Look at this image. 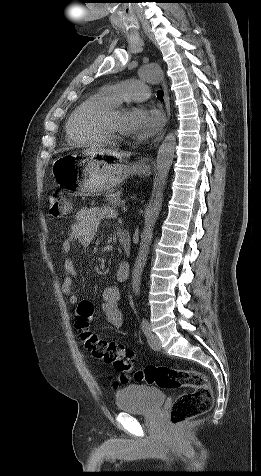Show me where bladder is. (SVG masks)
Masks as SVG:
<instances>
[{"label": "bladder", "instance_id": "31cf9c89", "mask_svg": "<svg viewBox=\"0 0 261 476\" xmlns=\"http://www.w3.org/2000/svg\"><path fill=\"white\" fill-rule=\"evenodd\" d=\"M165 393L157 387L146 384L128 385L117 391L115 403L125 413L150 415L164 403Z\"/></svg>", "mask_w": 261, "mask_h": 476}]
</instances>
